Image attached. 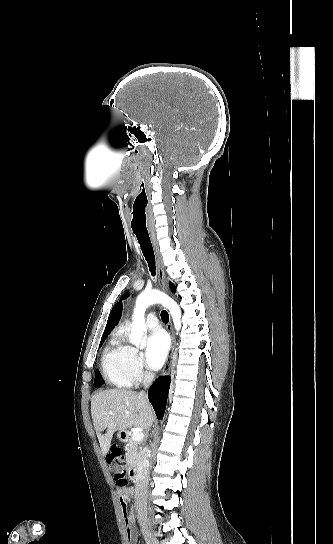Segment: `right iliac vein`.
Instances as JSON below:
<instances>
[{"instance_id":"obj_1","label":"right iliac vein","mask_w":333,"mask_h":544,"mask_svg":"<svg viewBox=\"0 0 333 544\" xmlns=\"http://www.w3.org/2000/svg\"><path fill=\"white\" fill-rule=\"evenodd\" d=\"M141 529H142V532H143V535H144V537H145V540H146L147 544H159V542L157 541L156 537H155L154 534L149 530V528L147 527V525L142 524Z\"/></svg>"}]
</instances>
